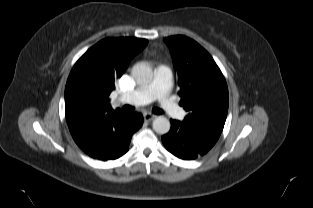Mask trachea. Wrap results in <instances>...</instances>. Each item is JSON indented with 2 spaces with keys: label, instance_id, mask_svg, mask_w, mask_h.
I'll return each instance as SVG.
<instances>
[{
  "label": "trachea",
  "instance_id": "obj_1",
  "mask_svg": "<svg viewBox=\"0 0 313 208\" xmlns=\"http://www.w3.org/2000/svg\"><path fill=\"white\" fill-rule=\"evenodd\" d=\"M124 110H127V111H132L133 110V107L129 106V105H125L123 107ZM153 113L155 114H163V110L162 109H159V108H154L153 109Z\"/></svg>",
  "mask_w": 313,
  "mask_h": 208
}]
</instances>
